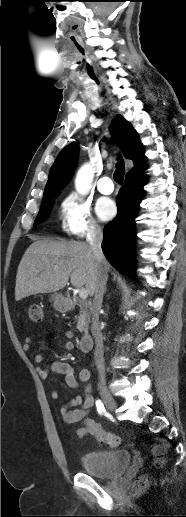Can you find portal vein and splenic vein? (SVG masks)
<instances>
[{
  "instance_id": "obj_1",
  "label": "portal vein and splenic vein",
  "mask_w": 186,
  "mask_h": 517,
  "mask_svg": "<svg viewBox=\"0 0 186 517\" xmlns=\"http://www.w3.org/2000/svg\"><path fill=\"white\" fill-rule=\"evenodd\" d=\"M79 297H80L81 299H86V298L88 297V292H87V290H86V289H84V288H81V289L79 290Z\"/></svg>"
}]
</instances>
